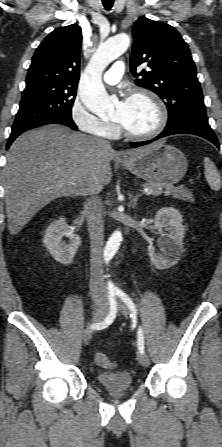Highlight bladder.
I'll return each mask as SVG.
<instances>
[{
  "instance_id": "31cf9c89",
  "label": "bladder",
  "mask_w": 222,
  "mask_h": 447,
  "mask_svg": "<svg viewBox=\"0 0 222 447\" xmlns=\"http://www.w3.org/2000/svg\"><path fill=\"white\" fill-rule=\"evenodd\" d=\"M96 379L102 388L110 392L128 390L134 382L131 373L125 370L100 372Z\"/></svg>"
}]
</instances>
